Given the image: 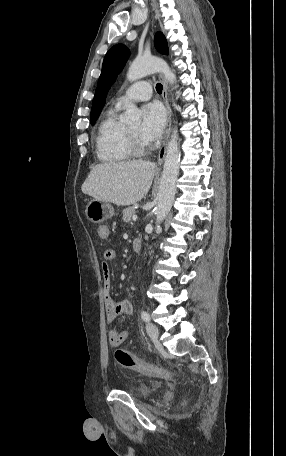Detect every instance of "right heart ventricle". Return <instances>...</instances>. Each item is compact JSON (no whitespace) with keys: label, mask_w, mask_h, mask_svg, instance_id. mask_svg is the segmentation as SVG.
<instances>
[{"label":"right heart ventricle","mask_w":286,"mask_h":456,"mask_svg":"<svg viewBox=\"0 0 286 456\" xmlns=\"http://www.w3.org/2000/svg\"><path fill=\"white\" fill-rule=\"evenodd\" d=\"M118 107L110 109L96 136V154L105 163H121L132 156L128 147L127 128L117 120Z\"/></svg>","instance_id":"1"}]
</instances>
